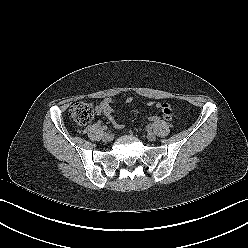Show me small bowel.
I'll list each match as a JSON object with an SVG mask.
<instances>
[{
	"label": "small bowel",
	"mask_w": 248,
	"mask_h": 248,
	"mask_svg": "<svg viewBox=\"0 0 248 248\" xmlns=\"http://www.w3.org/2000/svg\"><path fill=\"white\" fill-rule=\"evenodd\" d=\"M132 98H127L126 102L131 103ZM148 106H154L157 109H161L163 113V117L166 120H171L174 116V111L172 107L167 103H159V102H148ZM97 115H103L109 119V121L112 123V125L115 128L121 129L123 128V123L120 122L115 116H114V110L112 106V99L111 98H105L99 105L95 108ZM136 114V112H134Z\"/></svg>",
	"instance_id": "obj_1"
}]
</instances>
